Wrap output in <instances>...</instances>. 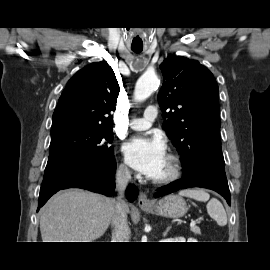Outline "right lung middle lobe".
I'll use <instances>...</instances> for the list:
<instances>
[{"label":"right lung middle lobe","mask_w":270,"mask_h":270,"mask_svg":"<svg viewBox=\"0 0 270 270\" xmlns=\"http://www.w3.org/2000/svg\"><path fill=\"white\" fill-rule=\"evenodd\" d=\"M112 128L64 124L51 128L48 163L72 155L90 154L102 165L114 161Z\"/></svg>","instance_id":"1"}]
</instances>
